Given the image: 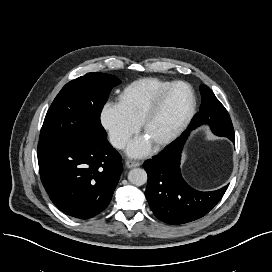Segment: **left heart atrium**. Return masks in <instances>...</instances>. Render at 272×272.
<instances>
[{"label":"left heart atrium","instance_id":"obj_1","mask_svg":"<svg viewBox=\"0 0 272 272\" xmlns=\"http://www.w3.org/2000/svg\"><path fill=\"white\" fill-rule=\"evenodd\" d=\"M150 150V142L145 138H136L127 148L128 155L132 157H142Z\"/></svg>","mask_w":272,"mask_h":272}]
</instances>
